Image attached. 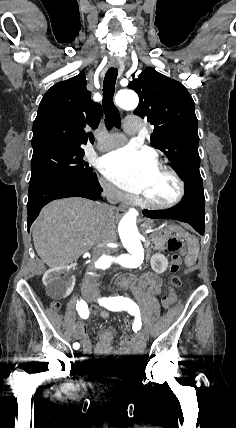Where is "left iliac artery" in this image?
Returning <instances> with one entry per match:
<instances>
[{
    "label": "left iliac artery",
    "mask_w": 236,
    "mask_h": 428,
    "mask_svg": "<svg viewBox=\"0 0 236 428\" xmlns=\"http://www.w3.org/2000/svg\"><path fill=\"white\" fill-rule=\"evenodd\" d=\"M99 305L104 306L110 311L128 310L130 307L136 305L131 299L123 296L100 298L98 299Z\"/></svg>",
    "instance_id": "44dca946"
}]
</instances>
